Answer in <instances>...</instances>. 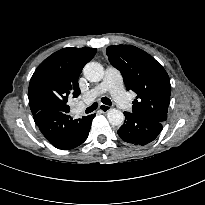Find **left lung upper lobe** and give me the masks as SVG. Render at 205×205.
Returning a JSON list of instances; mask_svg holds the SVG:
<instances>
[{"label": "left lung upper lobe", "mask_w": 205, "mask_h": 205, "mask_svg": "<svg viewBox=\"0 0 205 205\" xmlns=\"http://www.w3.org/2000/svg\"><path fill=\"white\" fill-rule=\"evenodd\" d=\"M106 53L110 63L121 72L127 90L137 94L132 114L166 121L171 85L162 65L132 45L109 46Z\"/></svg>", "instance_id": "1"}]
</instances>
